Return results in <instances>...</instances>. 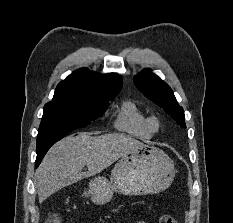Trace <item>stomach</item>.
<instances>
[{
    "mask_svg": "<svg viewBox=\"0 0 233 223\" xmlns=\"http://www.w3.org/2000/svg\"><path fill=\"white\" fill-rule=\"evenodd\" d=\"M174 177L172 159L155 145L140 143L118 159L109 179L104 175H96L90 179L82 195L89 197L96 205H104L111 201L114 193H160L172 183Z\"/></svg>",
    "mask_w": 233,
    "mask_h": 223,
    "instance_id": "obj_1",
    "label": "stomach"
}]
</instances>
